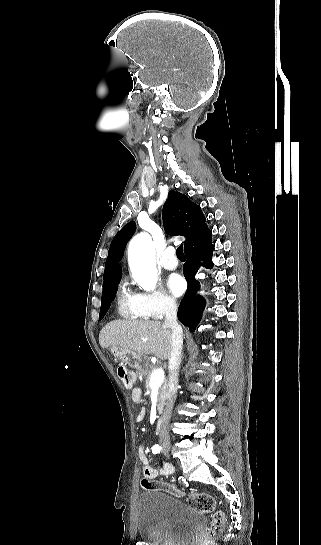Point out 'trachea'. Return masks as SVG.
Here are the masks:
<instances>
[{
	"instance_id": "3493384b",
	"label": "trachea",
	"mask_w": 321,
	"mask_h": 545,
	"mask_svg": "<svg viewBox=\"0 0 321 545\" xmlns=\"http://www.w3.org/2000/svg\"><path fill=\"white\" fill-rule=\"evenodd\" d=\"M176 255L178 258L185 259L184 252H183V245H180L176 250Z\"/></svg>"
}]
</instances>
